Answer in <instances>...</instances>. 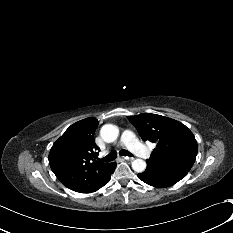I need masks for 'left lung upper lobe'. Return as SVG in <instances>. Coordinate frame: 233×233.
I'll use <instances>...</instances> for the list:
<instances>
[{"instance_id":"left-lung-upper-lobe-1","label":"left lung upper lobe","mask_w":233,"mask_h":233,"mask_svg":"<svg viewBox=\"0 0 233 233\" xmlns=\"http://www.w3.org/2000/svg\"><path fill=\"white\" fill-rule=\"evenodd\" d=\"M144 141L156 143L147 163L182 179L193 166L198 145L193 133L181 122L157 114L128 116Z\"/></svg>"}]
</instances>
